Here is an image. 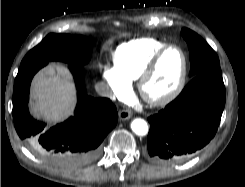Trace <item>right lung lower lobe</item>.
<instances>
[{
    "label": "right lung lower lobe",
    "mask_w": 245,
    "mask_h": 187,
    "mask_svg": "<svg viewBox=\"0 0 245 187\" xmlns=\"http://www.w3.org/2000/svg\"><path fill=\"white\" fill-rule=\"evenodd\" d=\"M48 62L20 65L13 89V118L21 139L43 160L64 168L83 166L97 158L100 144L116 126L118 113L107 98H92L83 87V70L71 65L78 103L73 116L45 129V123L34 120L28 111L30 84L35 73Z\"/></svg>",
    "instance_id": "1"
}]
</instances>
